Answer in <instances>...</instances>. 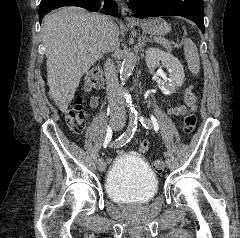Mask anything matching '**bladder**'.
Listing matches in <instances>:
<instances>
[{"mask_svg": "<svg viewBox=\"0 0 240 238\" xmlns=\"http://www.w3.org/2000/svg\"><path fill=\"white\" fill-rule=\"evenodd\" d=\"M159 180L146 160L132 152H124L106 176L108 198L121 204H145L158 192Z\"/></svg>", "mask_w": 240, "mask_h": 238, "instance_id": "bladder-1", "label": "bladder"}]
</instances>
